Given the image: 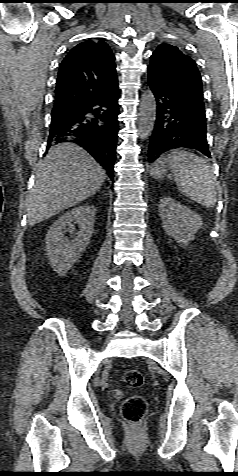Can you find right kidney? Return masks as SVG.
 Wrapping results in <instances>:
<instances>
[{
	"mask_svg": "<svg viewBox=\"0 0 238 476\" xmlns=\"http://www.w3.org/2000/svg\"><path fill=\"white\" fill-rule=\"evenodd\" d=\"M96 208L89 204L76 207L64 213L49 229L45 238V252L53 270L64 276L81 257L93 233ZM78 224L76 237L69 240L65 235L67 227Z\"/></svg>",
	"mask_w": 238,
	"mask_h": 476,
	"instance_id": "obj_1",
	"label": "right kidney"
}]
</instances>
